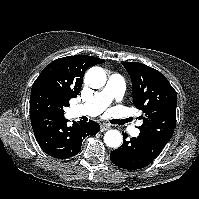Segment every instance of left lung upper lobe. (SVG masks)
Here are the masks:
<instances>
[{"label": "left lung upper lobe", "instance_id": "5c2ea615", "mask_svg": "<svg viewBox=\"0 0 199 199\" xmlns=\"http://www.w3.org/2000/svg\"><path fill=\"white\" fill-rule=\"evenodd\" d=\"M123 66L132 81L133 104L144 113L140 134L166 145L176 125V91L162 73L147 65L123 62Z\"/></svg>", "mask_w": 199, "mask_h": 199}]
</instances>
